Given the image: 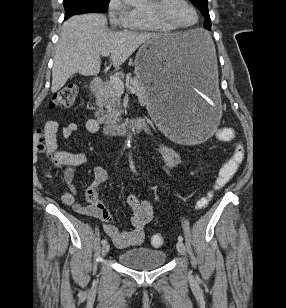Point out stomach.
Instances as JSON below:
<instances>
[{
  "label": "stomach",
  "instance_id": "0dacf381",
  "mask_svg": "<svg viewBox=\"0 0 286 308\" xmlns=\"http://www.w3.org/2000/svg\"><path fill=\"white\" fill-rule=\"evenodd\" d=\"M185 36H153L135 58V74L147 87L146 107L161 132L176 144H211L212 125L221 107L217 48L208 33L195 29Z\"/></svg>",
  "mask_w": 286,
  "mask_h": 308
}]
</instances>
